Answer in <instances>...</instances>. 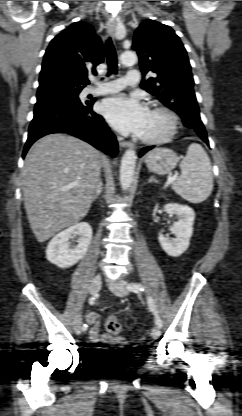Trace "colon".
I'll use <instances>...</instances> for the list:
<instances>
[{"mask_svg": "<svg viewBox=\"0 0 242 416\" xmlns=\"http://www.w3.org/2000/svg\"><path fill=\"white\" fill-rule=\"evenodd\" d=\"M106 330L113 335L120 334L123 330V325L116 317H109L105 322Z\"/></svg>", "mask_w": 242, "mask_h": 416, "instance_id": "5ec220e1", "label": "colon"}]
</instances>
